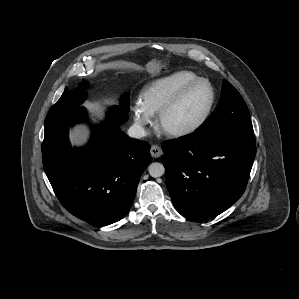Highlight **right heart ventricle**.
<instances>
[{
	"label": "right heart ventricle",
	"instance_id": "1",
	"mask_svg": "<svg viewBox=\"0 0 299 299\" xmlns=\"http://www.w3.org/2000/svg\"><path fill=\"white\" fill-rule=\"evenodd\" d=\"M198 78L190 71H178L160 78L143 89L140 104L152 114H157L179 89Z\"/></svg>",
	"mask_w": 299,
	"mask_h": 299
}]
</instances>
